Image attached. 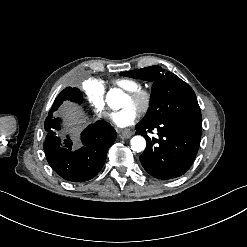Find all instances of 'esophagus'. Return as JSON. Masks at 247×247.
<instances>
[{
	"label": "esophagus",
	"mask_w": 247,
	"mask_h": 247,
	"mask_svg": "<svg viewBox=\"0 0 247 247\" xmlns=\"http://www.w3.org/2000/svg\"><path fill=\"white\" fill-rule=\"evenodd\" d=\"M134 134V132L132 130L129 129H123L121 130V137L123 139H128L130 138L132 135Z\"/></svg>",
	"instance_id": "obj_1"
}]
</instances>
